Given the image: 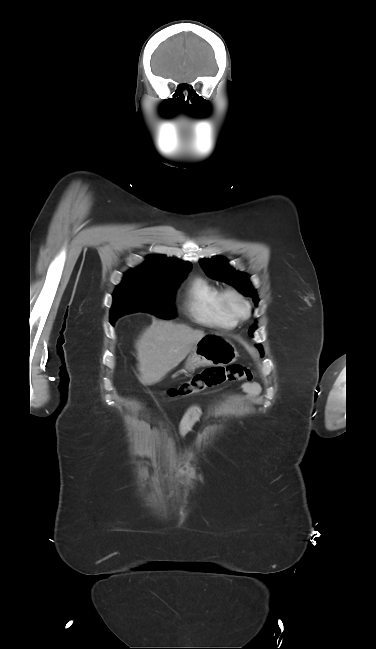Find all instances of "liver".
Listing matches in <instances>:
<instances>
[{"mask_svg": "<svg viewBox=\"0 0 376 649\" xmlns=\"http://www.w3.org/2000/svg\"><path fill=\"white\" fill-rule=\"evenodd\" d=\"M204 335L186 325L154 321L136 342L139 381L143 385L158 383Z\"/></svg>", "mask_w": 376, "mask_h": 649, "instance_id": "6515ba94", "label": "liver"}]
</instances>
